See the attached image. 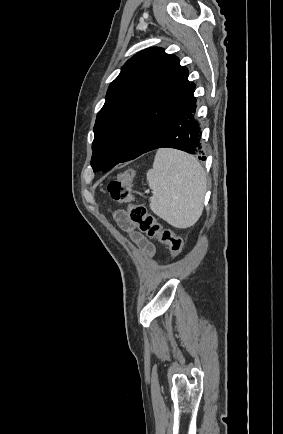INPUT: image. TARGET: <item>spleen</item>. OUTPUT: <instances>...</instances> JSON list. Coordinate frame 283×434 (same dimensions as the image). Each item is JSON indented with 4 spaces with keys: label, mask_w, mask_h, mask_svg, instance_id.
Returning <instances> with one entry per match:
<instances>
[{
    "label": "spleen",
    "mask_w": 283,
    "mask_h": 434,
    "mask_svg": "<svg viewBox=\"0 0 283 434\" xmlns=\"http://www.w3.org/2000/svg\"><path fill=\"white\" fill-rule=\"evenodd\" d=\"M150 209L176 228L193 226L203 211L206 175L199 161L172 149L157 151L147 172Z\"/></svg>",
    "instance_id": "1"
}]
</instances>
